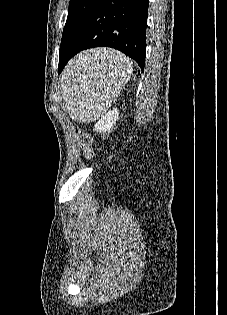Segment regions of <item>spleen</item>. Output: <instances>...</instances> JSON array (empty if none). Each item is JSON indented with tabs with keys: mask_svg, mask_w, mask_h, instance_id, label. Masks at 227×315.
Instances as JSON below:
<instances>
[{
	"mask_svg": "<svg viewBox=\"0 0 227 315\" xmlns=\"http://www.w3.org/2000/svg\"><path fill=\"white\" fill-rule=\"evenodd\" d=\"M132 62L120 52L101 49L73 59L61 79V94L69 115L89 123L102 117L132 74Z\"/></svg>",
	"mask_w": 227,
	"mask_h": 315,
	"instance_id": "1",
	"label": "spleen"
}]
</instances>
